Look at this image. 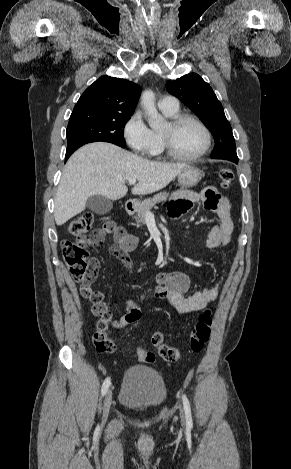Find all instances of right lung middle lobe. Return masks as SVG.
<instances>
[{
	"mask_svg": "<svg viewBox=\"0 0 291 469\" xmlns=\"http://www.w3.org/2000/svg\"><path fill=\"white\" fill-rule=\"evenodd\" d=\"M131 115L72 113L66 131L68 146L105 141L125 147L124 127Z\"/></svg>",
	"mask_w": 291,
	"mask_h": 469,
	"instance_id": "1",
	"label": "right lung middle lobe"
}]
</instances>
